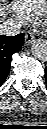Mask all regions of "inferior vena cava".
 Instances as JSON below:
<instances>
[{"instance_id": "inferior-vena-cava-1", "label": "inferior vena cava", "mask_w": 47, "mask_h": 129, "mask_svg": "<svg viewBox=\"0 0 47 129\" xmlns=\"http://www.w3.org/2000/svg\"><path fill=\"white\" fill-rule=\"evenodd\" d=\"M21 23L14 19H7L0 24V34L6 36H15L21 31Z\"/></svg>"}]
</instances>
